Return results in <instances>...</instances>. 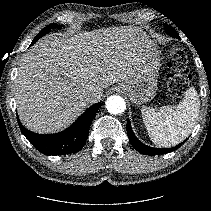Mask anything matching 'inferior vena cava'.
Returning a JSON list of instances; mask_svg holds the SVG:
<instances>
[{
    "label": "inferior vena cava",
    "instance_id": "inferior-vena-cava-1",
    "mask_svg": "<svg viewBox=\"0 0 211 211\" xmlns=\"http://www.w3.org/2000/svg\"><path fill=\"white\" fill-rule=\"evenodd\" d=\"M99 101V96L94 92H88L85 95V102L87 104H93Z\"/></svg>",
    "mask_w": 211,
    "mask_h": 211
}]
</instances>
